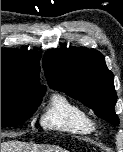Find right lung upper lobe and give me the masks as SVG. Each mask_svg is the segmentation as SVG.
Masks as SVG:
<instances>
[{
  "label": "right lung upper lobe",
  "mask_w": 123,
  "mask_h": 152,
  "mask_svg": "<svg viewBox=\"0 0 123 152\" xmlns=\"http://www.w3.org/2000/svg\"><path fill=\"white\" fill-rule=\"evenodd\" d=\"M40 58L38 52L1 48V80L16 83L21 89L45 92L46 87L39 83Z\"/></svg>",
  "instance_id": "right-lung-upper-lobe-1"
}]
</instances>
